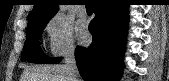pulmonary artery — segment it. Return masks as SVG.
I'll use <instances>...</instances> for the list:
<instances>
[{
  "label": "pulmonary artery",
  "mask_w": 169,
  "mask_h": 81,
  "mask_svg": "<svg viewBox=\"0 0 169 81\" xmlns=\"http://www.w3.org/2000/svg\"><path fill=\"white\" fill-rule=\"evenodd\" d=\"M77 14L79 16H84L86 14V10L84 8H79Z\"/></svg>",
  "instance_id": "pulmonary-artery-1"
}]
</instances>
